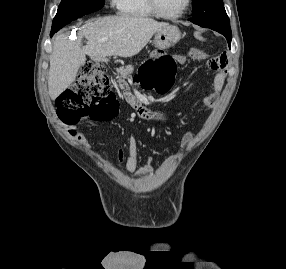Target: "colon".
Masks as SVG:
<instances>
[{
  "label": "colon",
  "instance_id": "5ec220e1",
  "mask_svg": "<svg viewBox=\"0 0 286 269\" xmlns=\"http://www.w3.org/2000/svg\"><path fill=\"white\" fill-rule=\"evenodd\" d=\"M151 59L141 68V83L147 89L168 91L174 82L175 60L165 49H152ZM116 96L110 88L105 68L97 62H87L76 83L57 99V115L65 125H74L83 118L105 121L118 114Z\"/></svg>",
  "mask_w": 286,
  "mask_h": 269
}]
</instances>
